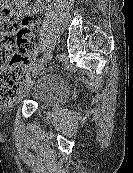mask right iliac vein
Instances as JSON below:
<instances>
[{
  "label": "right iliac vein",
  "instance_id": "1",
  "mask_svg": "<svg viewBox=\"0 0 133 173\" xmlns=\"http://www.w3.org/2000/svg\"><path fill=\"white\" fill-rule=\"evenodd\" d=\"M50 59V56L45 58L44 60L38 62L33 68H32V75L35 76L40 73V71L44 68L47 61Z\"/></svg>",
  "mask_w": 133,
  "mask_h": 173
}]
</instances>
